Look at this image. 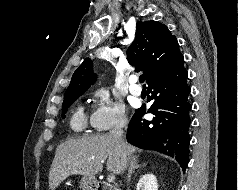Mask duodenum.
<instances>
[{
  "label": "duodenum",
  "mask_w": 238,
  "mask_h": 190,
  "mask_svg": "<svg viewBox=\"0 0 238 190\" xmlns=\"http://www.w3.org/2000/svg\"><path fill=\"white\" fill-rule=\"evenodd\" d=\"M94 190H117L114 188L112 185L103 183V182H98L94 184Z\"/></svg>",
  "instance_id": "duodenum-1"
}]
</instances>
